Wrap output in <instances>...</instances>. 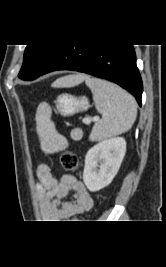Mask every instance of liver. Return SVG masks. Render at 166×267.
Listing matches in <instances>:
<instances>
[{
	"label": "liver",
	"instance_id": "1",
	"mask_svg": "<svg viewBox=\"0 0 166 267\" xmlns=\"http://www.w3.org/2000/svg\"><path fill=\"white\" fill-rule=\"evenodd\" d=\"M86 79L87 76L83 74L70 75L56 80L52 84V87H73L82 83Z\"/></svg>",
	"mask_w": 166,
	"mask_h": 267
}]
</instances>
